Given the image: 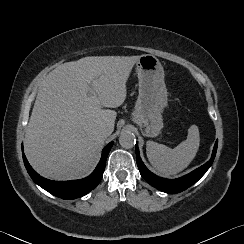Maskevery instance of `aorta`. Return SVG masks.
Returning <instances> with one entry per match:
<instances>
[{
  "label": "aorta",
  "mask_w": 244,
  "mask_h": 244,
  "mask_svg": "<svg viewBox=\"0 0 244 244\" xmlns=\"http://www.w3.org/2000/svg\"><path fill=\"white\" fill-rule=\"evenodd\" d=\"M135 134L130 131H123L119 137V144L124 149H131L135 146Z\"/></svg>",
  "instance_id": "762f6f07"
}]
</instances>
